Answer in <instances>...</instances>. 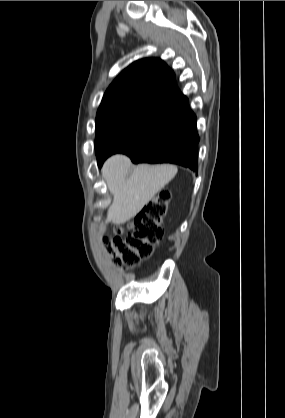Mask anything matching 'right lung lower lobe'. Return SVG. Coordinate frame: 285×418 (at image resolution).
I'll list each match as a JSON object with an SVG mask.
<instances>
[{"label":"right lung lower lobe","instance_id":"right-lung-lower-lobe-1","mask_svg":"<svg viewBox=\"0 0 285 418\" xmlns=\"http://www.w3.org/2000/svg\"><path fill=\"white\" fill-rule=\"evenodd\" d=\"M198 142L196 116L187 103L119 153L128 155L133 163H173L197 171ZM108 157L97 159L98 166Z\"/></svg>","mask_w":285,"mask_h":418}]
</instances>
